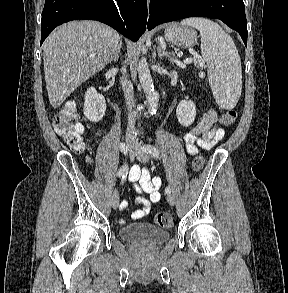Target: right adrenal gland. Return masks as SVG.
Here are the masks:
<instances>
[{"mask_svg": "<svg viewBox=\"0 0 288 293\" xmlns=\"http://www.w3.org/2000/svg\"><path fill=\"white\" fill-rule=\"evenodd\" d=\"M121 47H122V42L120 41V42H119V45H118V47H117V50H116L114 56L112 57V59L110 60L109 63H111V62H114V63H115V62L118 61L119 56L121 55Z\"/></svg>", "mask_w": 288, "mask_h": 293, "instance_id": "1", "label": "right adrenal gland"}]
</instances>
